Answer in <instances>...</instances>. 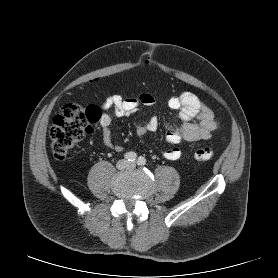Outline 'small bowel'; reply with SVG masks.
I'll return each instance as SVG.
<instances>
[{"instance_id":"1","label":"small bowel","mask_w":278,"mask_h":278,"mask_svg":"<svg viewBox=\"0 0 278 278\" xmlns=\"http://www.w3.org/2000/svg\"><path fill=\"white\" fill-rule=\"evenodd\" d=\"M154 103L155 97L147 92L129 98H124L119 94L108 97L102 104L105 112L100 117L104 144L116 152L123 150L121 145L112 141V114L117 117L132 118L140 106H152ZM168 106L177 111L175 119L166 125L165 138L167 143L171 145L164 151V157L168 160H177L181 157L182 151L177 146L181 141L207 140L219 127L213 110L192 92L186 91L179 95L170 96ZM158 127V118L151 117L145 122L136 123V133L142 138L148 132H155Z\"/></svg>"}]
</instances>
